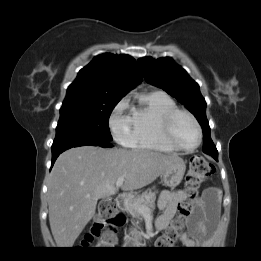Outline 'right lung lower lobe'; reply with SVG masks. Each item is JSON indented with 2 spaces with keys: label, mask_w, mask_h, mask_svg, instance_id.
<instances>
[{
  "label": "right lung lower lobe",
  "mask_w": 261,
  "mask_h": 261,
  "mask_svg": "<svg viewBox=\"0 0 261 261\" xmlns=\"http://www.w3.org/2000/svg\"><path fill=\"white\" fill-rule=\"evenodd\" d=\"M85 145H92V146H100L103 148L113 147L111 143L107 140L93 138V137H80L74 139H66L58 142H53L52 145V165L51 168L57 159V157L67 149L72 147H79Z\"/></svg>",
  "instance_id": "obj_1"
}]
</instances>
